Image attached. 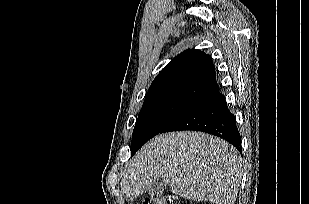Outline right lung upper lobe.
<instances>
[{
  "label": "right lung upper lobe",
  "mask_w": 309,
  "mask_h": 204,
  "mask_svg": "<svg viewBox=\"0 0 309 204\" xmlns=\"http://www.w3.org/2000/svg\"><path fill=\"white\" fill-rule=\"evenodd\" d=\"M215 67L210 56L189 49L162 69L153 80L144 104L159 101H186L199 104L217 94Z\"/></svg>",
  "instance_id": "cb5924a9"
}]
</instances>
